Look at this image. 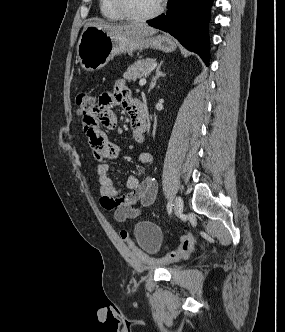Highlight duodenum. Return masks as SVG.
<instances>
[{
  "instance_id": "410a0bca",
  "label": "duodenum",
  "mask_w": 285,
  "mask_h": 332,
  "mask_svg": "<svg viewBox=\"0 0 285 332\" xmlns=\"http://www.w3.org/2000/svg\"><path fill=\"white\" fill-rule=\"evenodd\" d=\"M139 107H140V112H141V116H142V120L144 121V123L147 124L148 120H149V112H148V108L145 104L139 102Z\"/></svg>"
}]
</instances>
